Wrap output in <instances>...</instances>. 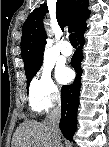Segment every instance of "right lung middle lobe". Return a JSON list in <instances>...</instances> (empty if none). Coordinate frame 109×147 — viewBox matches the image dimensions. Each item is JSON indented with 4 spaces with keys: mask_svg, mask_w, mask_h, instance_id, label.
<instances>
[{
    "mask_svg": "<svg viewBox=\"0 0 109 147\" xmlns=\"http://www.w3.org/2000/svg\"><path fill=\"white\" fill-rule=\"evenodd\" d=\"M41 64H42V62L40 64H38L37 66H35V67H31V68L25 70V74H26V78H27V85H29L31 79L38 72V70L41 67Z\"/></svg>",
    "mask_w": 109,
    "mask_h": 147,
    "instance_id": "right-lung-middle-lobe-1",
    "label": "right lung middle lobe"
}]
</instances>
